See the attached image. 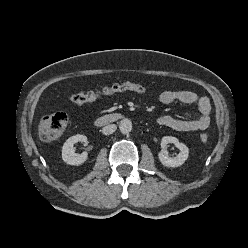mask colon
<instances>
[{
  "mask_svg": "<svg viewBox=\"0 0 248 248\" xmlns=\"http://www.w3.org/2000/svg\"><path fill=\"white\" fill-rule=\"evenodd\" d=\"M144 91L145 87L139 83L122 82L96 90L75 92L71 95L70 99L75 104H84L109 98L123 92L142 93ZM67 124L68 118L64 113L59 112L44 116L39 122V136L44 141L56 140L63 134ZM200 141L206 143L208 141V135L206 133L201 134Z\"/></svg>",
  "mask_w": 248,
  "mask_h": 248,
  "instance_id": "obj_1",
  "label": "colon"
}]
</instances>
